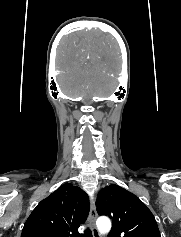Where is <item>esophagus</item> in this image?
<instances>
[{"instance_id":"34e87169","label":"esophagus","mask_w":181,"mask_h":237,"mask_svg":"<svg viewBox=\"0 0 181 237\" xmlns=\"http://www.w3.org/2000/svg\"><path fill=\"white\" fill-rule=\"evenodd\" d=\"M96 218H97V211H96V206H95V199L92 198L90 200V225H91L93 237H99V232L95 225Z\"/></svg>"}]
</instances>
